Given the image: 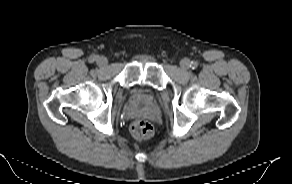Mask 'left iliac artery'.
Returning <instances> with one entry per match:
<instances>
[{"instance_id":"44dca946","label":"left iliac artery","mask_w":292,"mask_h":184,"mask_svg":"<svg viewBox=\"0 0 292 184\" xmlns=\"http://www.w3.org/2000/svg\"><path fill=\"white\" fill-rule=\"evenodd\" d=\"M197 66H198V63L195 62V61H192V62L190 63V67H191L192 69L197 68Z\"/></svg>"}]
</instances>
